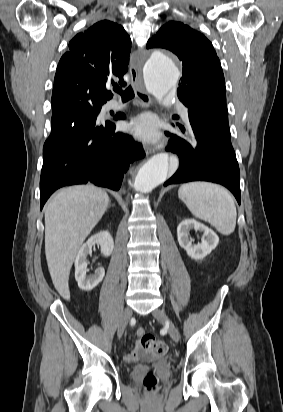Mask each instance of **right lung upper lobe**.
Segmentation results:
<instances>
[{
	"mask_svg": "<svg viewBox=\"0 0 283 412\" xmlns=\"http://www.w3.org/2000/svg\"><path fill=\"white\" fill-rule=\"evenodd\" d=\"M57 67L52 114L66 111L80 101L106 103L112 98L111 84L125 85L131 39L124 28L100 21L77 34Z\"/></svg>",
	"mask_w": 283,
	"mask_h": 412,
	"instance_id": "1",
	"label": "right lung upper lobe"
}]
</instances>
